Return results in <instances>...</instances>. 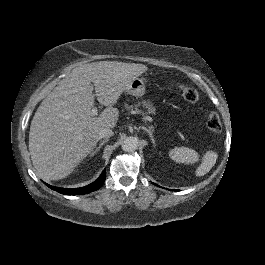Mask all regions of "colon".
Returning <instances> with one entry per match:
<instances>
[{
  "label": "colon",
  "instance_id": "1",
  "mask_svg": "<svg viewBox=\"0 0 265 265\" xmlns=\"http://www.w3.org/2000/svg\"><path fill=\"white\" fill-rule=\"evenodd\" d=\"M178 88L182 93L183 98L192 104H196L199 101V93L196 89L189 86L188 84L180 83L178 84ZM206 124L209 130L213 132H219L221 130V119L219 115L215 112H211L208 114L206 119Z\"/></svg>",
  "mask_w": 265,
  "mask_h": 265
}]
</instances>
